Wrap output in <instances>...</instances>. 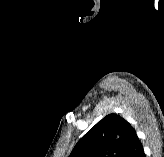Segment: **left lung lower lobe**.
Masks as SVG:
<instances>
[{
	"label": "left lung lower lobe",
	"instance_id": "0a47b994",
	"mask_svg": "<svg viewBox=\"0 0 164 157\" xmlns=\"http://www.w3.org/2000/svg\"><path fill=\"white\" fill-rule=\"evenodd\" d=\"M123 157H145L143 146L137 135L132 139Z\"/></svg>",
	"mask_w": 164,
	"mask_h": 157
}]
</instances>
